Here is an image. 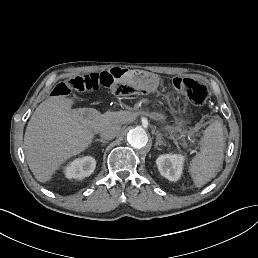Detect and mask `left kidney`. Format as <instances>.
Listing matches in <instances>:
<instances>
[{
	"label": "left kidney",
	"mask_w": 258,
	"mask_h": 258,
	"mask_svg": "<svg viewBox=\"0 0 258 258\" xmlns=\"http://www.w3.org/2000/svg\"><path fill=\"white\" fill-rule=\"evenodd\" d=\"M186 156L183 153H167L156 158V165L161 176L172 182L180 180Z\"/></svg>",
	"instance_id": "obj_1"
}]
</instances>
